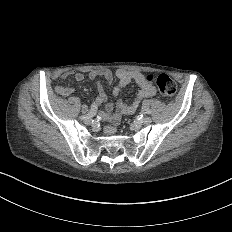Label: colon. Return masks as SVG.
<instances>
[{
    "label": "colon",
    "instance_id": "colon-1",
    "mask_svg": "<svg viewBox=\"0 0 232 232\" xmlns=\"http://www.w3.org/2000/svg\"><path fill=\"white\" fill-rule=\"evenodd\" d=\"M145 81L149 85L158 86L160 98H165L166 101H175L176 81H171L170 78L160 72L151 71L146 74ZM62 98H67V93H62Z\"/></svg>",
    "mask_w": 232,
    "mask_h": 232
}]
</instances>
